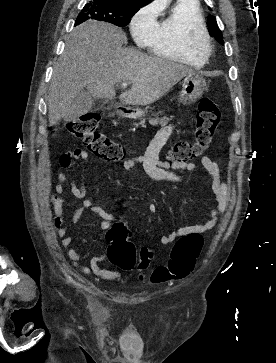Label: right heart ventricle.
Returning <instances> with one entry per match:
<instances>
[{
  "mask_svg": "<svg viewBox=\"0 0 276 363\" xmlns=\"http://www.w3.org/2000/svg\"><path fill=\"white\" fill-rule=\"evenodd\" d=\"M195 27L206 29L198 2L177 0L157 23L146 45L158 57L201 68L205 65V60L193 54L187 45L188 33Z\"/></svg>",
  "mask_w": 276,
  "mask_h": 363,
  "instance_id": "obj_1",
  "label": "right heart ventricle"
}]
</instances>
